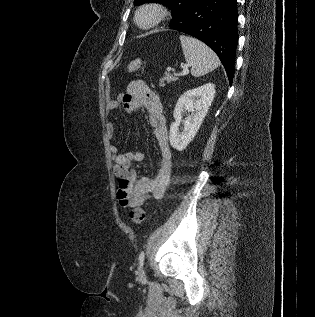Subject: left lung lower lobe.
<instances>
[{"mask_svg":"<svg viewBox=\"0 0 315 317\" xmlns=\"http://www.w3.org/2000/svg\"><path fill=\"white\" fill-rule=\"evenodd\" d=\"M237 0H194L184 17L170 28L207 44L220 58L230 85L238 43Z\"/></svg>","mask_w":315,"mask_h":317,"instance_id":"obj_1","label":"left lung lower lobe"}]
</instances>
